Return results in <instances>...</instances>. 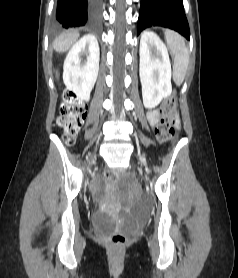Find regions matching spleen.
Here are the masks:
<instances>
[{
  "label": "spleen",
  "mask_w": 238,
  "mask_h": 278,
  "mask_svg": "<svg viewBox=\"0 0 238 278\" xmlns=\"http://www.w3.org/2000/svg\"><path fill=\"white\" fill-rule=\"evenodd\" d=\"M165 39L174 59V82L177 85H181L184 81L188 69L189 51L185 45L183 37L178 33L171 30H167L165 32Z\"/></svg>",
  "instance_id": "3e777b00"
}]
</instances>
